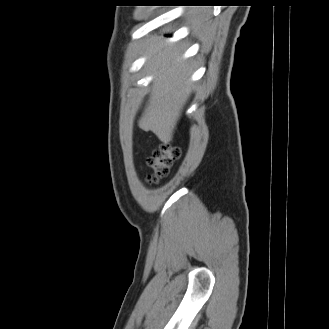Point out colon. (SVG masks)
I'll return each instance as SVG.
<instances>
[{"mask_svg": "<svg viewBox=\"0 0 329 329\" xmlns=\"http://www.w3.org/2000/svg\"><path fill=\"white\" fill-rule=\"evenodd\" d=\"M181 151L170 143H164L148 157L147 163L151 169L149 180L158 182L169 174L172 164L179 159Z\"/></svg>", "mask_w": 329, "mask_h": 329, "instance_id": "5ec220e1", "label": "colon"}]
</instances>
